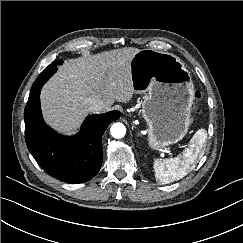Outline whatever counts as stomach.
Masks as SVG:
<instances>
[{"mask_svg":"<svg viewBox=\"0 0 243 243\" xmlns=\"http://www.w3.org/2000/svg\"><path fill=\"white\" fill-rule=\"evenodd\" d=\"M131 75L134 92L145 94L142 114L148 124L149 145L162 149L182 140L195 99L184 63L173 54L142 49L131 60Z\"/></svg>","mask_w":243,"mask_h":243,"instance_id":"obj_1","label":"stomach"}]
</instances>
